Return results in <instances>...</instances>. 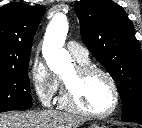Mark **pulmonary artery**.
Here are the masks:
<instances>
[{
  "instance_id": "e3ab8cb5",
  "label": "pulmonary artery",
  "mask_w": 142,
  "mask_h": 128,
  "mask_svg": "<svg viewBox=\"0 0 142 128\" xmlns=\"http://www.w3.org/2000/svg\"><path fill=\"white\" fill-rule=\"evenodd\" d=\"M69 53L77 60V61H88L89 60V52L86 48L75 41H69L66 45Z\"/></svg>"
}]
</instances>
